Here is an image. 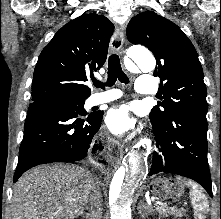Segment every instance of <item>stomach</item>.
Instances as JSON below:
<instances>
[{
    "instance_id": "0dacf381",
    "label": "stomach",
    "mask_w": 221,
    "mask_h": 219,
    "mask_svg": "<svg viewBox=\"0 0 221 219\" xmlns=\"http://www.w3.org/2000/svg\"><path fill=\"white\" fill-rule=\"evenodd\" d=\"M172 180L169 178L155 179L152 181L151 188L155 199H170L172 195H180L183 192V188L178 190H171L173 184L169 183ZM162 184V186H160Z\"/></svg>"
}]
</instances>
